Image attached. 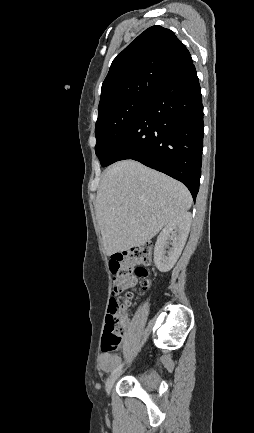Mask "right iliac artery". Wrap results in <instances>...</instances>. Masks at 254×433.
I'll return each mask as SVG.
<instances>
[{
    "label": "right iliac artery",
    "mask_w": 254,
    "mask_h": 433,
    "mask_svg": "<svg viewBox=\"0 0 254 433\" xmlns=\"http://www.w3.org/2000/svg\"><path fill=\"white\" fill-rule=\"evenodd\" d=\"M122 368V364H120L118 367L114 368L111 372V374H115L116 372H118L120 369Z\"/></svg>",
    "instance_id": "1"
}]
</instances>
